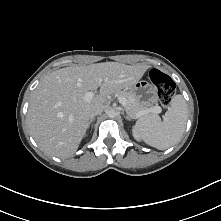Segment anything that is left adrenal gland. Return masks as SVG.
Wrapping results in <instances>:
<instances>
[{
  "instance_id": "obj_1",
  "label": "left adrenal gland",
  "mask_w": 221,
  "mask_h": 221,
  "mask_svg": "<svg viewBox=\"0 0 221 221\" xmlns=\"http://www.w3.org/2000/svg\"><path fill=\"white\" fill-rule=\"evenodd\" d=\"M125 118H126V120H129V121H131V119H132L129 115H126Z\"/></svg>"
}]
</instances>
